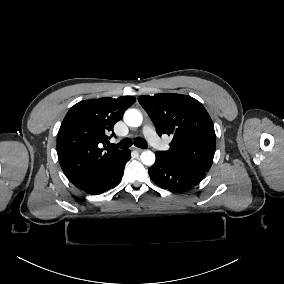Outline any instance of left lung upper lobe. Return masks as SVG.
Here are the masks:
<instances>
[{
  "mask_svg": "<svg viewBox=\"0 0 284 284\" xmlns=\"http://www.w3.org/2000/svg\"><path fill=\"white\" fill-rule=\"evenodd\" d=\"M156 126L157 133L173 136L168 151H158L167 161L207 172L216 148L214 125L204 106L181 94L138 97Z\"/></svg>",
  "mask_w": 284,
  "mask_h": 284,
  "instance_id": "left-lung-upper-lobe-1",
  "label": "left lung upper lobe"
}]
</instances>
